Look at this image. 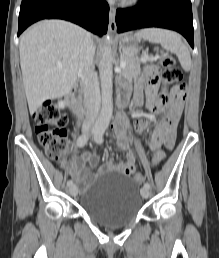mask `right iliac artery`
<instances>
[{
  "instance_id": "right-iliac-artery-1",
  "label": "right iliac artery",
  "mask_w": 219,
  "mask_h": 258,
  "mask_svg": "<svg viewBox=\"0 0 219 258\" xmlns=\"http://www.w3.org/2000/svg\"><path fill=\"white\" fill-rule=\"evenodd\" d=\"M95 132H96V130H93V131H92V133H95ZM88 138H89V135H88V134L81 135V136L77 139V146H78V147H83V146L87 143ZM67 185H68V186H72V185H73V181H72V180H68Z\"/></svg>"
}]
</instances>
